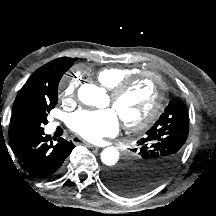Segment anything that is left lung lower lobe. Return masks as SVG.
Instances as JSON below:
<instances>
[{
    "label": "left lung lower lobe",
    "mask_w": 216,
    "mask_h": 216,
    "mask_svg": "<svg viewBox=\"0 0 216 216\" xmlns=\"http://www.w3.org/2000/svg\"><path fill=\"white\" fill-rule=\"evenodd\" d=\"M130 168L127 163H124L117 169L108 171L104 176V182L106 185L119 195L132 197L135 195H130L134 190V187L130 184H124L123 178L129 174Z\"/></svg>",
    "instance_id": "left-lung-lower-lobe-1"
}]
</instances>
